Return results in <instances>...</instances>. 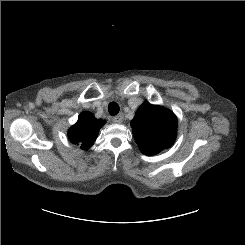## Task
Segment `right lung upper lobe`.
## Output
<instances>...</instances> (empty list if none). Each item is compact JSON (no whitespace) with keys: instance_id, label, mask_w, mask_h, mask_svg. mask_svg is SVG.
Listing matches in <instances>:
<instances>
[{"instance_id":"1","label":"right lung upper lobe","mask_w":245,"mask_h":245,"mask_svg":"<svg viewBox=\"0 0 245 245\" xmlns=\"http://www.w3.org/2000/svg\"><path fill=\"white\" fill-rule=\"evenodd\" d=\"M102 120H96L88 112H82L78 121L68 131V137L74 144L81 145V148H89L97 138L99 129L103 126Z\"/></svg>"}]
</instances>
